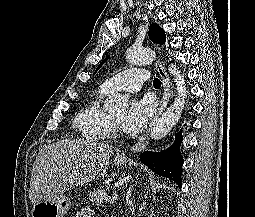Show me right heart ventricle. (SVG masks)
Listing matches in <instances>:
<instances>
[{"label":"right heart ventricle","instance_id":"1","mask_svg":"<svg viewBox=\"0 0 255 217\" xmlns=\"http://www.w3.org/2000/svg\"><path fill=\"white\" fill-rule=\"evenodd\" d=\"M108 93L102 86L99 87L75 116L74 126L84 138L104 141L111 137V115L102 106Z\"/></svg>","mask_w":255,"mask_h":217}]
</instances>
